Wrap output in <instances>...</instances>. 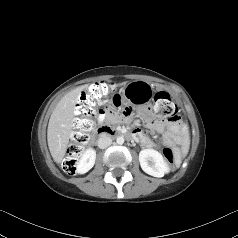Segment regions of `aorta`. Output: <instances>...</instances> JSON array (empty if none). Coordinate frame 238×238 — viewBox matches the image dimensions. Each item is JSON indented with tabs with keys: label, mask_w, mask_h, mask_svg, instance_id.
I'll list each match as a JSON object with an SVG mask.
<instances>
[{
	"label": "aorta",
	"mask_w": 238,
	"mask_h": 238,
	"mask_svg": "<svg viewBox=\"0 0 238 238\" xmlns=\"http://www.w3.org/2000/svg\"><path fill=\"white\" fill-rule=\"evenodd\" d=\"M117 144L122 145L124 143V138L123 136H119L116 139Z\"/></svg>",
	"instance_id": "762f6f07"
}]
</instances>
